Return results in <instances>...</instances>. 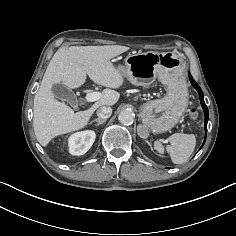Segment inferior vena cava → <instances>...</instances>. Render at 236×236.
<instances>
[{
  "instance_id": "inferior-vena-cava-1",
  "label": "inferior vena cava",
  "mask_w": 236,
  "mask_h": 236,
  "mask_svg": "<svg viewBox=\"0 0 236 236\" xmlns=\"http://www.w3.org/2000/svg\"><path fill=\"white\" fill-rule=\"evenodd\" d=\"M112 114V108L110 106H102L97 110V115L101 119H107Z\"/></svg>"
}]
</instances>
